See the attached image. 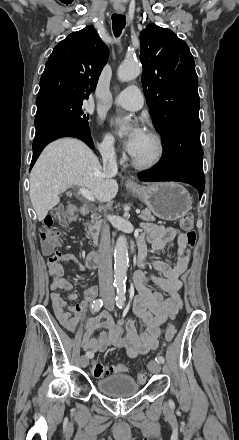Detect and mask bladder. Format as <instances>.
<instances>
[{
    "label": "bladder",
    "instance_id": "obj_1",
    "mask_svg": "<svg viewBox=\"0 0 239 440\" xmlns=\"http://www.w3.org/2000/svg\"><path fill=\"white\" fill-rule=\"evenodd\" d=\"M96 386L102 394L114 398L133 396L139 391L138 382L128 374L101 377L97 380Z\"/></svg>",
    "mask_w": 239,
    "mask_h": 440
}]
</instances>
